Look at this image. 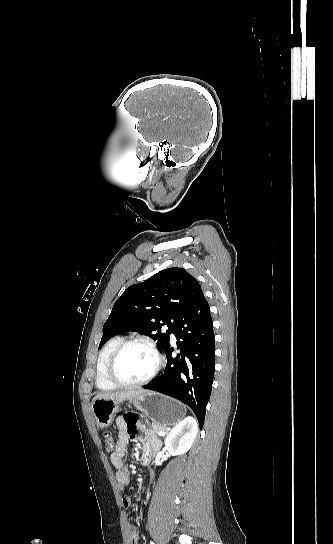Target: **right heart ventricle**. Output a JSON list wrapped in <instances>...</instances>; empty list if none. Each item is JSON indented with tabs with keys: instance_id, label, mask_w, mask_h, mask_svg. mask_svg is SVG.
<instances>
[{
	"instance_id": "e07e8e85",
	"label": "right heart ventricle",
	"mask_w": 333,
	"mask_h": 544,
	"mask_svg": "<svg viewBox=\"0 0 333 544\" xmlns=\"http://www.w3.org/2000/svg\"><path fill=\"white\" fill-rule=\"evenodd\" d=\"M122 341H124L122 336H114L110 338L99 351L96 361L95 384L101 391H111L117 387L108 380L106 376V367L110 355Z\"/></svg>"
}]
</instances>
